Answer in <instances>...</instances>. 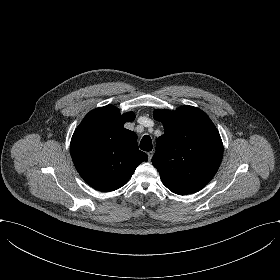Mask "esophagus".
<instances>
[{
  "label": "esophagus",
  "mask_w": 280,
  "mask_h": 280,
  "mask_svg": "<svg viewBox=\"0 0 280 280\" xmlns=\"http://www.w3.org/2000/svg\"><path fill=\"white\" fill-rule=\"evenodd\" d=\"M147 155H148V160L150 161L152 159V156L154 155V152L150 151L147 153Z\"/></svg>",
  "instance_id": "34e87169"
}]
</instances>
